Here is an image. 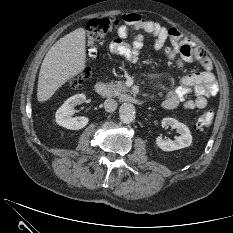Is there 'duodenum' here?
I'll list each match as a JSON object with an SVG mask.
<instances>
[{
  "instance_id": "obj_1",
  "label": "duodenum",
  "mask_w": 233,
  "mask_h": 233,
  "mask_svg": "<svg viewBox=\"0 0 233 233\" xmlns=\"http://www.w3.org/2000/svg\"><path fill=\"white\" fill-rule=\"evenodd\" d=\"M95 92L102 97H106L109 95V89L107 87V85L104 82H97L95 84ZM124 101L132 103V104H136V105H142L143 101L130 95V94H125L123 96Z\"/></svg>"
}]
</instances>
